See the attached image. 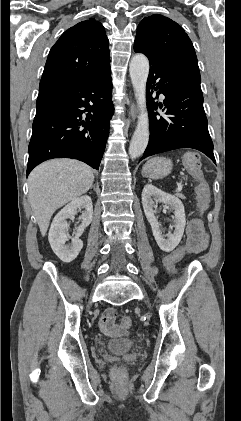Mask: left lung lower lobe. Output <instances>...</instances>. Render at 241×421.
<instances>
[{"label":"left lung lower lobe","mask_w":241,"mask_h":421,"mask_svg":"<svg viewBox=\"0 0 241 421\" xmlns=\"http://www.w3.org/2000/svg\"><path fill=\"white\" fill-rule=\"evenodd\" d=\"M134 51L145 54L150 62L147 81L150 140L140 161L178 148H193L206 154L215 163L203 108L200 73L189 66L155 59L138 46H134ZM153 90H158L156 98L160 93L165 96L163 104L154 102ZM158 107H164L167 116H157L153 110Z\"/></svg>","instance_id":"obj_1"}]
</instances>
